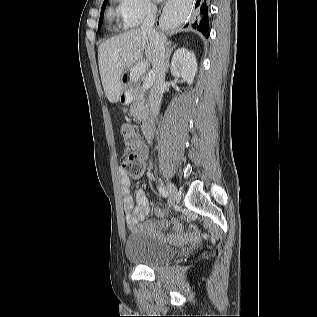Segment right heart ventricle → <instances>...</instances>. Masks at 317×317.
Returning <instances> with one entry per match:
<instances>
[{"instance_id":"obj_1","label":"right heart ventricle","mask_w":317,"mask_h":317,"mask_svg":"<svg viewBox=\"0 0 317 317\" xmlns=\"http://www.w3.org/2000/svg\"><path fill=\"white\" fill-rule=\"evenodd\" d=\"M120 16H121V13H120L119 7H111V8H109V10H108V18L110 19V21L118 23Z\"/></svg>"}]
</instances>
